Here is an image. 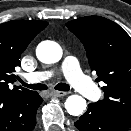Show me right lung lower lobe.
Returning <instances> with one entry per match:
<instances>
[{
    "mask_svg": "<svg viewBox=\"0 0 131 131\" xmlns=\"http://www.w3.org/2000/svg\"><path fill=\"white\" fill-rule=\"evenodd\" d=\"M42 101L35 91L0 95V131H32Z\"/></svg>",
    "mask_w": 131,
    "mask_h": 131,
    "instance_id": "1",
    "label": "right lung lower lobe"
}]
</instances>
